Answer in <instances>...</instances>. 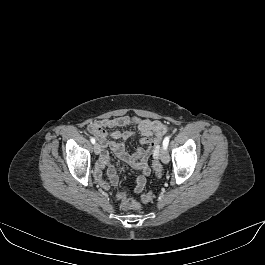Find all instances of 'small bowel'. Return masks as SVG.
Wrapping results in <instances>:
<instances>
[{"label": "small bowel", "mask_w": 265, "mask_h": 265, "mask_svg": "<svg viewBox=\"0 0 265 265\" xmlns=\"http://www.w3.org/2000/svg\"><path fill=\"white\" fill-rule=\"evenodd\" d=\"M134 126L141 133L140 142L145 148H139L132 154L125 150V144L134 136L132 131H120L119 128ZM106 129H112L108 134ZM88 131L99 140L103 151L96 167V180L99 186L109 189V184L102 179V169L108 167V175L111 183H118L116 168L110 164V157L107 148H110L116 157L132 168L139 170L141 174L136 179L135 193L140 194L146 185L147 177L151 173L149 159L158 156V148L163 137L168 133V127L164 122L138 116H116L104 118L91 122ZM108 136L112 140L108 139ZM119 195V194H118ZM118 195L116 199L118 200Z\"/></svg>", "instance_id": "small-bowel-1"}]
</instances>
